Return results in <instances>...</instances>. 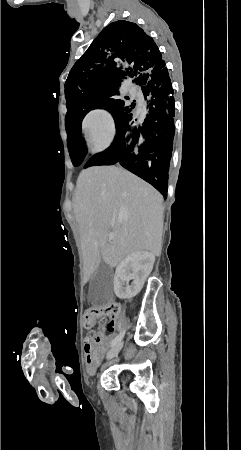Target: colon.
<instances>
[{"label": "colon", "instance_id": "5ec220e1", "mask_svg": "<svg viewBox=\"0 0 241 450\" xmlns=\"http://www.w3.org/2000/svg\"><path fill=\"white\" fill-rule=\"evenodd\" d=\"M122 307L118 304L117 301L113 300L109 303L108 306L97 307L94 309L88 310L87 313H84V327L91 328L93 327V323L98 322L99 317L105 314L117 315L121 312Z\"/></svg>", "mask_w": 241, "mask_h": 450}]
</instances>
